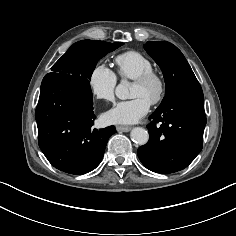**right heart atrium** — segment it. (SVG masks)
Listing matches in <instances>:
<instances>
[{
	"label": "right heart atrium",
	"mask_w": 236,
	"mask_h": 236,
	"mask_svg": "<svg viewBox=\"0 0 236 236\" xmlns=\"http://www.w3.org/2000/svg\"><path fill=\"white\" fill-rule=\"evenodd\" d=\"M91 94L100 100H112L117 85L115 72L104 63L95 64L87 78Z\"/></svg>",
	"instance_id": "1"
}]
</instances>
